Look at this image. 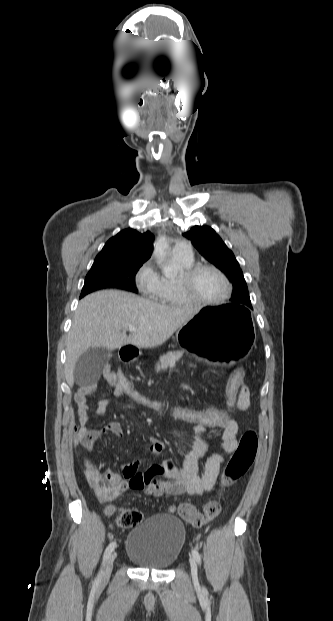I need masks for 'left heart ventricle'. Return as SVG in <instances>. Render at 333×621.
Masks as SVG:
<instances>
[{
	"mask_svg": "<svg viewBox=\"0 0 333 621\" xmlns=\"http://www.w3.org/2000/svg\"><path fill=\"white\" fill-rule=\"evenodd\" d=\"M194 294L203 300H217L226 292V285L215 272L205 270L200 272L193 283Z\"/></svg>",
	"mask_w": 333,
	"mask_h": 621,
	"instance_id": "1",
	"label": "left heart ventricle"
}]
</instances>
